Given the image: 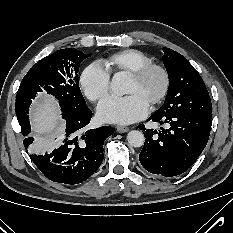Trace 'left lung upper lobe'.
Listing matches in <instances>:
<instances>
[{
  "label": "left lung upper lobe",
  "mask_w": 233,
  "mask_h": 233,
  "mask_svg": "<svg viewBox=\"0 0 233 233\" xmlns=\"http://www.w3.org/2000/svg\"><path fill=\"white\" fill-rule=\"evenodd\" d=\"M162 61L169 76L165 102L156 112H189L212 118V104L205 83L189 61L178 52L163 48Z\"/></svg>",
  "instance_id": "1"
}]
</instances>
